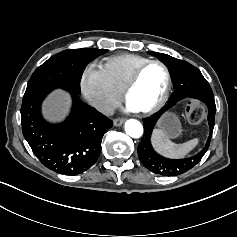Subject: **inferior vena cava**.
<instances>
[{
  "mask_svg": "<svg viewBox=\"0 0 237 237\" xmlns=\"http://www.w3.org/2000/svg\"><path fill=\"white\" fill-rule=\"evenodd\" d=\"M92 105L101 113L113 115L118 104H112L106 100H94Z\"/></svg>",
  "mask_w": 237,
  "mask_h": 237,
  "instance_id": "inferior-vena-cava-1",
  "label": "inferior vena cava"
}]
</instances>
